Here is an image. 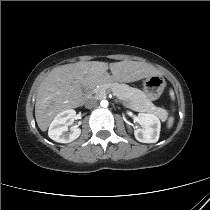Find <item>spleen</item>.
Returning a JSON list of instances; mask_svg holds the SVG:
<instances>
[{"instance_id": "spleen-1", "label": "spleen", "mask_w": 210, "mask_h": 210, "mask_svg": "<svg viewBox=\"0 0 210 210\" xmlns=\"http://www.w3.org/2000/svg\"><path fill=\"white\" fill-rule=\"evenodd\" d=\"M170 94H171V97L174 99V94H173V92H171ZM172 124H173V118H169V120H168V127H171Z\"/></svg>"}]
</instances>
